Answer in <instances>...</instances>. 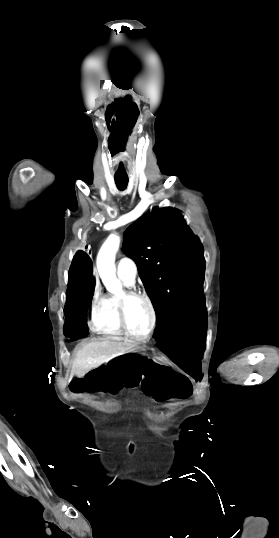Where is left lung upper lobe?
<instances>
[{
	"instance_id": "1",
	"label": "left lung upper lobe",
	"mask_w": 279,
	"mask_h": 538,
	"mask_svg": "<svg viewBox=\"0 0 279 538\" xmlns=\"http://www.w3.org/2000/svg\"><path fill=\"white\" fill-rule=\"evenodd\" d=\"M156 311L158 334L173 335L205 313L203 248L177 210L154 208L124 233Z\"/></svg>"
}]
</instances>
